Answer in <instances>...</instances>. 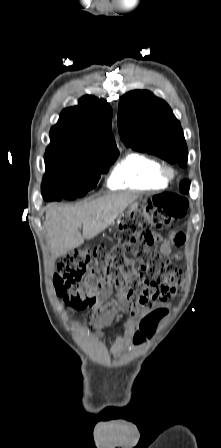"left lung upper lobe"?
Segmentation results:
<instances>
[{
  "mask_svg": "<svg viewBox=\"0 0 221 448\" xmlns=\"http://www.w3.org/2000/svg\"><path fill=\"white\" fill-rule=\"evenodd\" d=\"M118 130L128 147L180 166L188 151L179 121L169 105L146 90L126 93L119 102Z\"/></svg>",
  "mask_w": 221,
  "mask_h": 448,
  "instance_id": "left-lung-upper-lobe-1",
  "label": "left lung upper lobe"
}]
</instances>
